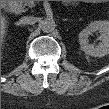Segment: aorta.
Listing matches in <instances>:
<instances>
[{
	"label": "aorta",
	"mask_w": 109,
	"mask_h": 109,
	"mask_svg": "<svg viewBox=\"0 0 109 109\" xmlns=\"http://www.w3.org/2000/svg\"><path fill=\"white\" fill-rule=\"evenodd\" d=\"M56 24L52 18H46L40 22V28L45 33H50L55 30Z\"/></svg>",
	"instance_id": "obj_1"
}]
</instances>
